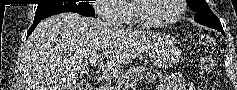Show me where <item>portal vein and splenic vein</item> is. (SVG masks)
Returning <instances> with one entry per match:
<instances>
[{
    "mask_svg": "<svg viewBox=\"0 0 237 90\" xmlns=\"http://www.w3.org/2000/svg\"><path fill=\"white\" fill-rule=\"evenodd\" d=\"M90 64H93V66H98V62H90ZM128 90V88H126Z\"/></svg>",
    "mask_w": 237,
    "mask_h": 90,
    "instance_id": "portal-vein-and-splenic-vein-1",
    "label": "portal vein and splenic vein"
}]
</instances>
